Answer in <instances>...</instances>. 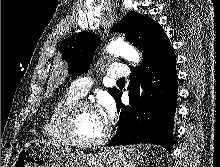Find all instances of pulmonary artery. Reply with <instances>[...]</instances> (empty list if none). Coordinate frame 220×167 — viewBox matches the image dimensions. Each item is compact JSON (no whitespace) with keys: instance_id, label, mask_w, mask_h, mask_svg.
Returning a JSON list of instances; mask_svg holds the SVG:
<instances>
[{"instance_id":"1","label":"pulmonary artery","mask_w":220,"mask_h":167,"mask_svg":"<svg viewBox=\"0 0 220 167\" xmlns=\"http://www.w3.org/2000/svg\"><path fill=\"white\" fill-rule=\"evenodd\" d=\"M129 75V68L125 64H112L107 69V76L111 79H120ZM92 80L88 77H80L76 79L70 88V91L78 97L87 94L92 86Z\"/></svg>"}]
</instances>
